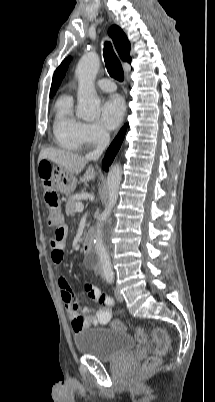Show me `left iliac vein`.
<instances>
[{
	"instance_id": "obj_1",
	"label": "left iliac vein",
	"mask_w": 215,
	"mask_h": 402,
	"mask_svg": "<svg viewBox=\"0 0 215 402\" xmlns=\"http://www.w3.org/2000/svg\"><path fill=\"white\" fill-rule=\"evenodd\" d=\"M115 297H116V299H117L118 301H123V296H122V294L120 293V291H119L118 288L115 289Z\"/></svg>"
}]
</instances>
